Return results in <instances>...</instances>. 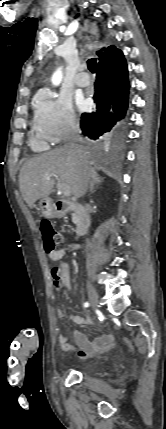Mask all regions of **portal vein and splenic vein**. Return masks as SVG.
Instances as JSON below:
<instances>
[{"label":"portal vein and splenic vein","instance_id":"portal-vein-and-splenic-vein-1","mask_svg":"<svg viewBox=\"0 0 166 429\" xmlns=\"http://www.w3.org/2000/svg\"><path fill=\"white\" fill-rule=\"evenodd\" d=\"M59 189L63 193L64 196H70L71 195L70 186L67 184H63L62 186H60Z\"/></svg>","mask_w":166,"mask_h":429}]
</instances>
